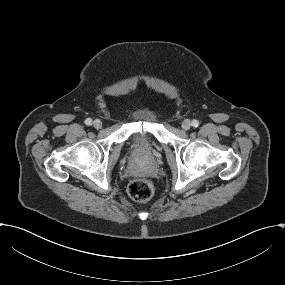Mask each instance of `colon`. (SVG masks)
Listing matches in <instances>:
<instances>
[{
  "mask_svg": "<svg viewBox=\"0 0 285 285\" xmlns=\"http://www.w3.org/2000/svg\"><path fill=\"white\" fill-rule=\"evenodd\" d=\"M127 192L132 200L143 203L152 198L154 187L152 183L146 179H135L129 183Z\"/></svg>",
  "mask_w": 285,
  "mask_h": 285,
  "instance_id": "5ec220e1",
  "label": "colon"
}]
</instances>
